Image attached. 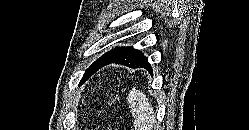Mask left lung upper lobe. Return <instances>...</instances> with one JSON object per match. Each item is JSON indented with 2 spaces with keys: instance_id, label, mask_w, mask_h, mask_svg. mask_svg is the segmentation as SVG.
<instances>
[{
  "instance_id": "obj_1",
  "label": "left lung upper lobe",
  "mask_w": 249,
  "mask_h": 130,
  "mask_svg": "<svg viewBox=\"0 0 249 130\" xmlns=\"http://www.w3.org/2000/svg\"><path fill=\"white\" fill-rule=\"evenodd\" d=\"M125 47H116L102 55L85 71L80 83L86 82L107 60L117 56Z\"/></svg>"
}]
</instances>
